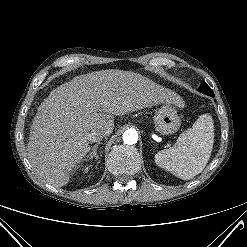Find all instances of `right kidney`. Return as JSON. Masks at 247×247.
Segmentation results:
<instances>
[{"label":"right kidney","instance_id":"ca27d5eb","mask_svg":"<svg viewBox=\"0 0 247 247\" xmlns=\"http://www.w3.org/2000/svg\"><path fill=\"white\" fill-rule=\"evenodd\" d=\"M88 169H89V167L87 166L83 170H84L85 173H87L88 172Z\"/></svg>","mask_w":247,"mask_h":247}]
</instances>
